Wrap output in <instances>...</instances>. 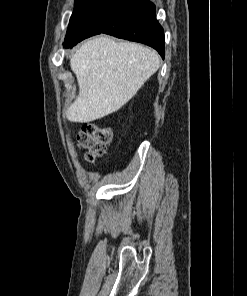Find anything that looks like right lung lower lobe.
I'll use <instances>...</instances> for the list:
<instances>
[{
    "label": "right lung lower lobe",
    "mask_w": 247,
    "mask_h": 296,
    "mask_svg": "<svg viewBox=\"0 0 247 296\" xmlns=\"http://www.w3.org/2000/svg\"><path fill=\"white\" fill-rule=\"evenodd\" d=\"M100 33L146 44L164 58V31L148 0H109L88 23L84 39Z\"/></svg>",
    "instance_id": "1"
}]
</instances>
